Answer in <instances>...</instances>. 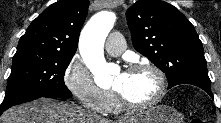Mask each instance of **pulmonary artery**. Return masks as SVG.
Segmentation results:
<instances>
[{
	"label": "pulmonary artery",
	"instance_id": "e3ab8cb5",
	"mask_svg": "<svg viewBox=\"0 0 221 123\" xmlns=\"http://www.w3.org/2000/svg\"><path fill=\"white\" fill-rule=\"evenodd\" d=\"M125 40L121 33H111L105 43L106 51L112 56H118L125 50Z\"/></svg>",
	"mask_w": 221,
	"mask_h": 123
}]
</instances>
